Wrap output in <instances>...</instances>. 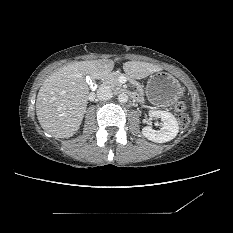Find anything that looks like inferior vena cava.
I'll use <instances>...</instances> for the list:
<instances>
[{"label": "inferior vena cava", "mask_w": 233, "mask_h": 233, "mask_svg": "<svg viewBox=\"0 0 233 233\" xmlns=\"http://www.w3.org/2000/svg\"><path fill=\"white\" fill-rule=\"evenodd\" d=\"M97 98L102 101H107L112 98L113 93L109 86H100L97 90Z\"/></svg>", "instance_id": "1"}]
</instances>
